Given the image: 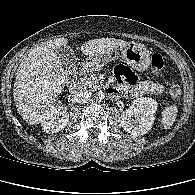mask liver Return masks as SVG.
<instances>
[{
  "label": "liver",
  "mask_w": 195,
  "mask_h": 195,
  "mask_svg": "<svg viewBox=\"0 0 195 195\" xmlns=\"http://www.w3.org/2000/svg\"><path fill=\"white\" fill-rule=\"evenodd\" d=\"M67 43L65 38L41 43L31 49L17 69L14 102L19 114L31 125L42 122L64 89L66 73L56 50ZM128 43L115 38L93 39L82 44L81 51L91 58L104 57Z\"/></svg>",
  "instance_id": "6515ba94"
}]
</instances>
